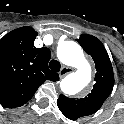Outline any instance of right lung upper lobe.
Here are the masks:
<instances>
[{
	"mask_svg": "<svg viewBox=\"0 0 124 124\" xmlns=\"http://www.w3.org/2000/svg\"><path fill=\"white\" fill-rule=\"evenodd\" d=\"M36 36L32 27L24 26L0 40V103L4 107L22 106L45 80H59L48 68L50 51L34 46Z\"/></svg>",
	"mask_w": 124,
	"mask_h": 124,
	"instance_id": "right-lung-upper-lobe-1",
	"label": "right lung upper lobe"
}]
</instances>
